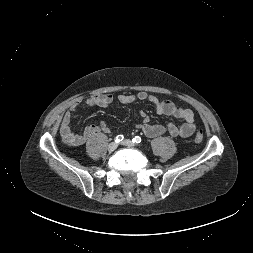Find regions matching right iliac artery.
<instances>
[{"label": "right iliac artery", "instance_id": "obj_1", "mask_svg": "<svg viewBox=\"0 0 253 253\" xmlns=\"http://www.w3.org/2000/svg\"><path fill=\"white\" fill-rule=\"evenodd\" d=\"M124 139V136L123 135H117L116 137H115V142H120V141H122Z\"/></svg>", "mask_w": 253, "mask_h": 253}]
</instances>
